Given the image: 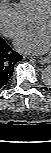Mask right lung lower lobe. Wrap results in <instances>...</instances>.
<instances>
[{
  "instance_id": "obj_1",
  "label": "right lung lower lobe",
  "mask_w": 51,
  "mask_h": 153,
  "mask_svg": "<svg viewBox=\"0 0 51 153\" xmlns=\"http://www.w3.org/2000/svg\"><path fill=\"white\" fill-rule=\"evenodd\" d=\"M21 59L22 56L12 51L11 47L0 38V88L8 83L14 65Z\"/></svg>"
}]
</instances>
